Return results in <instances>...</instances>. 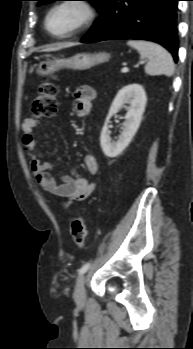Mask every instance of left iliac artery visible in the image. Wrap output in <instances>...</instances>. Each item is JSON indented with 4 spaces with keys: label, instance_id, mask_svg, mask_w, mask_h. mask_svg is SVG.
Returning <instances> with one entry per match:
<instances>
[{
    "label": "left iliac artery",
    "instance_id": "left-iliac-artery-1",
    "mask_svg": "<svg viewBox=\"0 0 193 349\" xmlns=\"http://www.w3.org/2000/svg\"><path fill=\"white\" fill-rule=\"evenodd\" d=\"M91 263H86L84 264L80 269H79V274H84L85 272H87V270L90 268Z\"/></svg>",
    "mask_w": 193,
    "mask_h": 349
}]
</instances>
